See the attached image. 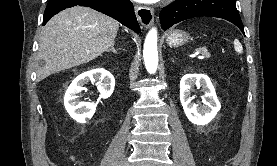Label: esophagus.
<instances>
[{"mask_svg":"<svg viewBox=\"0 0 277 166\" xmlns=\"http://www.w3.org/2000/svg\"><path fill=\"white\" fill-rule=\"evenodd\" d=\"M135 13L140 24L146 28L150 27L154 21V11L151 7L135 6Z\"/></svg>","mask_w":277,"mask_h":166,"instance_id":"1","label":"esophagus"}]
</instances>
